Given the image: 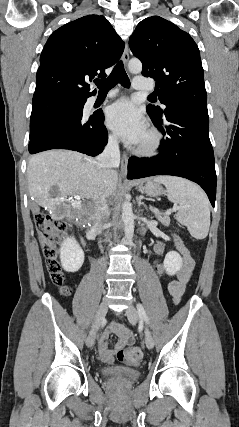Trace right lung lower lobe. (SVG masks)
<instances>
[{
    "instance_id": "1",
    "label": "right lung lower lobe",
    "mask_w": 239,
    "mask_h": 427,
    "mask_svg": "<svg viewBox=\"0 0 239 427\" xmlns=\"http://www.w3.org/2000/svg\"><path fill=\"white\" fill-rule=\"evenodd\" d=\"M82 103H70L47 117L30 137V154L50 149H69L96 156L104 150L108 133L102 112L83 116Z\"/></svg>"
}]
</instances>
